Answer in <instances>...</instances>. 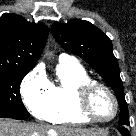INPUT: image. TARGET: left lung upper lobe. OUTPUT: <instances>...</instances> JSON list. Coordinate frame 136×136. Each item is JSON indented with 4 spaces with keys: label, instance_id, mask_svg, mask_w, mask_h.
<instances>
[{
    "label": "left lung upper lobe",
    "instance_id": "1",
    "mask_svg": "<svg viewBox=\"0 0 136 136\" xmlns=\"http://www.w3.org/2000/svg\"><path fill=\"white\" fill-rule=\"evenodd\" d=\"M51 31L65 50L80 56L109 84L119 102V125H129L123 83L111 40L90 22L78 19L66 24L56 22L52 25Z\"/></svg>",
    "mask_w": 136,
    "mask_h": 136
}]
</instances>
